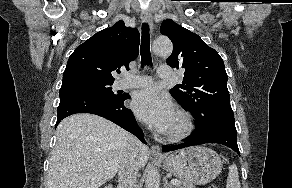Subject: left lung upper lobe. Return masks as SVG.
<instances>
[{"instance_id": "left-lung-upper-lobe-1", "label": "left lung upper lobe", "mask_w": 292, "mask_h": 188, "mask_svg": "<svg viewBox=\"0 0 292 188\" xmlns=\"http://www.w3.org/2000/svg\"><path fill=\"white\" fill-rule=\"evenodd\" d=\"M161 32L173 43V52L166 63L184 68V81L170 90L171 95L189 110L196 128L213 117L233 113L227 89V74L220 55L195 33L167 19Z\"/></svg>"}]
</instances>
